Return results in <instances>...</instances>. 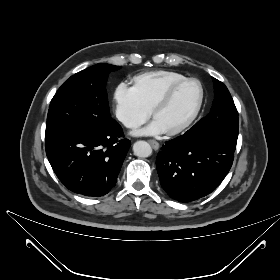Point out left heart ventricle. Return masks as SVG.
I'll use <instances>...</instances> for the list:
<instances>
[{
	"label": "left heart ventricle",
	"mask_w": 280,
	"mask_h": 280,
	"mask_svg": "<svg viewBox=\"0 0 280 280\" xmlns=\"http://www.w3.org/2000/svg\"><path fill=\"white\" fill-rule=\"evenodd\" d=\"M198 98V85L186 83L177 88L170 101L156 112L154 120L164 131L174 129L189 118Z\"/></svg>",
	"instance_id": "b2bd125f"
}]
</instances>
